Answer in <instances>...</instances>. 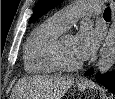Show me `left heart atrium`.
I'll return each mask as SVG.
<instances>
[{
    "label": "left heart atrium",
    "instance_id": "left-heart-atrium-1",
    "mask_svg": "<svg viewBox=\"0 0 115 99\" xmlns=\"http://www.w3.org/2000/svg\"><path fill=\"white\" fill-rule=\"evenodd\" d=\"M102 31L91 24H84L75 36V47L81 61L90 58L96 51Z\"/></svg>",
    "mask_w": 115,
    "mask_h": 99
}]
</instances>
